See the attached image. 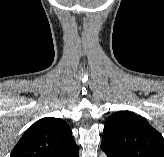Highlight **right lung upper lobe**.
Returning a JSON list of instances; mask_svg holds the SVG:
<instances>
[{
	"instance_id": "cb5924a9",
	"label": "right lung upper lobe",
	"mask_w": 164,
	"mask_h": 157,
	"mask_svg": "<svg viewBox=\"0 0 164 157\" xmlns=\"http://www.w3.org/2000/svg\"><path fill=\"white\" fill-rule=\"evenodd\" d=\"M76 147L69 125L62 119L46 117L24 133L10 157H61Z\"/></svg>"
}]
</instances>
